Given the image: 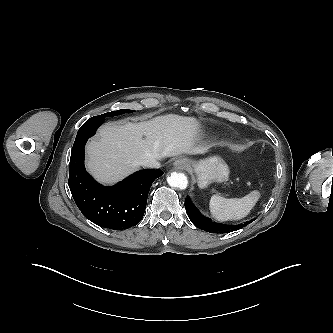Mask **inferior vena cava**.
<instances>
[{"instance_id":"1","label":"inferior vena cava","mask_w":333,"mask_h":333,"mask_svg":"<svg viewBox=\"0 0 333 333\" xmlns=\"http://www.w3.org/2000/svg\"><path fill=\"white\" fill-rule=\"evenodd\" d=\"M140 165L148 167V168H157L160 166V163L158 162V160H156L154 158H147V159H143L140 162Z\"/></svg>"}]
</instances>
